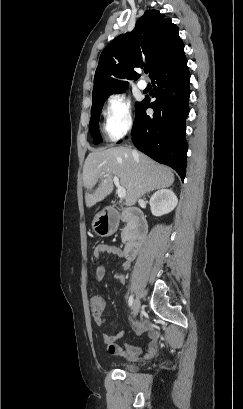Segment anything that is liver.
<instances>
[{"instance_id":"6515ba94","label":"liver","mask_w":243,"mask_h":409,"mask_svg":"<svg viewBox=\"0 0 243 409\" xmlns=\"http://www.w3.org/2000/svg\"><path fill=\"white\" fill-rule=\"evenodd\" d=\"M133 151L129 147L118 146L94 150L88 155L83 168L85 203L88 208L113 192V176L119 178L121 186L126 190L127 206H133L150 191L173 184L174 174L169 167Z\"/></svg>"}]
</instances>
